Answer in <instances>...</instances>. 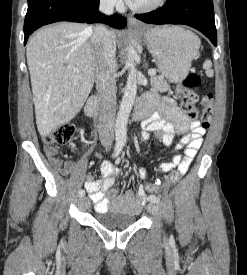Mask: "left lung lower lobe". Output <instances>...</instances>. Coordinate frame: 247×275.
<instances>
[{"instance_id": "1", "label": "left lung lower lobe", "mask_w": 247, "mask_h": 275, "mask_svg": "<svg viewBox=\"0 0 247 275\" xmlns=\"http://www.w3.org/2000/svg\"><path fill=\"white\" fill-rule=\"evenodd\" d=\"M135 17L152 24H185L202 32L216 46L212 0H167L161 8Z\"/></svg>"}]
</instances>
